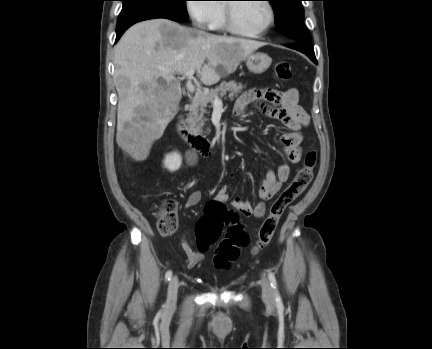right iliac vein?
<instances>
[{
	"mask_svg": "<svg viewBox=\"0 0 432 349\" xmlns=\"http://www.w3.org/2000/svg\"><path fill=\"white\" fill-rule=\"evenodd\" d=\"M178 286V278L176 276L172 277L167 290L166 307L168 310H173L176 307Z\"/></svg>",
	"mask_w": 432,
	"mask_h": 349,
	"instance_id": "right-iliac-vein-1",
	"label": "right iliac vein"
}]
</instances>
